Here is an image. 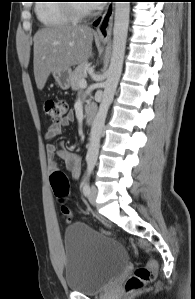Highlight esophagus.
<instances>
[{"instance_id": "esophagus-1", "label": "esophagus", "mask_w": 195, "mask_h": 299, "mask_svg": "<svg viewBox=\"0 0 195 299\" xmlns=\"http://www.w3.org/2000/svg\"><path fill=\"white\" fill-rule=\"evenodd\" d=\"M114 17V4L109 2L106 7L104 14L102 15L101 21L97 27V34L102 39L110 38L112 33Z\"/></svg>"}]
</instances>
